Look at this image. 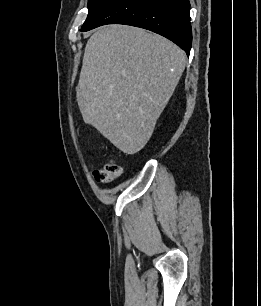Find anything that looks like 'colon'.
Here are the masks:
<instances>
[{"instance_id":"obj_1","label":"colon","mask_w":261,"mask_h":306,"mask_svg":"<svg viewBox=\"0 0 261 306\" xmlns=\"http://www.w3.org/2000/svg\"><path fill=\"white\" fill-rule=\"evenodd\" d=\"M121 174V167L115 162L107 163L102 169L94 171V177L98 182L107 183Z\"/></svg>"}]
</instances>
